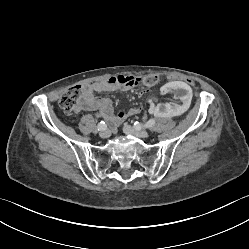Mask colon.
<instances>
[{
    "instance_id": "1",
    "label": "colon",
    "mask_w": 249,
    "mask_h": 249,
    "mask_svg": "<svg viewBox=\"0 0 249 249\" xmlns=\"http://www.w3.org/2000/svg\"><path fill=\"white\" fill-rule=\"evenodd\" d=\"M161 79L160 75L157 76H139L135 85L141 83L147 87H153L154 84ZM147 87H136L135 96L141 97L148 94ZM83 87L76 85L67 89L60 98V106L66 113L75 114L80 110L81 104L84 99Z\"/></svg>"
}]
</instances>
